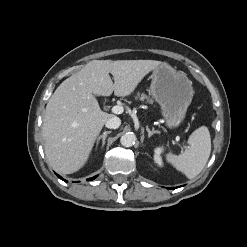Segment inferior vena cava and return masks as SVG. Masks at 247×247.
<instances>
[{"label":"inferior vena cava","mask_w":247,"mask_h":247,"mask_svg":"<svg viewBox=\"0 0 247 247\" xmlns=\"http://www.w3.org/2000/svg\"><path fill=\"white\" fill-rule=\"evenodd\" d=\"M105 125L109 129H117L121 125V120L116 116H112L107 120Z\"/></svg>","instance_id":"1"}]
</instances>
